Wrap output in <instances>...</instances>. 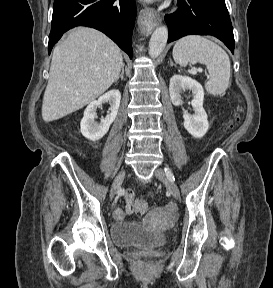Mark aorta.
Returning <instances> with one entry per match:
<instances>
[{
  "instance_id": "obj_1",
  "label": "aorta",
  "mask_w": 273,
  "mask_h": 288,
  "mask_svg": "<svg viewBox=\"0 0 273 288\" xmlns=\"http://www.w3.org/2000/svg\"><path fill=\"white\" fill-rule=\"evenodd\" d=\"M168 39V29L160 26L153 32L149 42V55L151 58H157L164 50Z\"/></svg>"
}]
</instances>
